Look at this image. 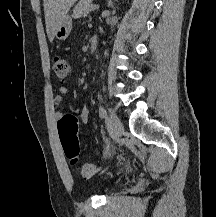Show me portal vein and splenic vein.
Wrapping results in <instances>:
<instances>
[{
    "label": "portal vein and splenic vein",
    "instance_id": "portal-vein-and-splenic-vein-1",
    "mask_svg": "<svg viewBox=\"0 0 216 217\" xmlns=\"http://www.w3.org/2000/svg\"><path fill=\"white\" fill-rule=\"evenodd\" d=\"M98 7H99L98 5H92L91 6V11H94V10L98 9Z\"/></svg>",
    "mask_w": 216,
    "mask_h": 217
}]
</instances>
